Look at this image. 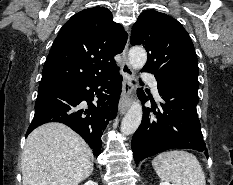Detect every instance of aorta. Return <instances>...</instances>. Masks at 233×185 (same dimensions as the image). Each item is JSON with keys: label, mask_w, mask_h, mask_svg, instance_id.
Returning a JSON list of instances; mask_svg holds the SVG:
<instances>
[{"label": "aorta", "mask_w": 233, "mask_h": 185, "mask_svg": "<svg viewBox=\"0 0 233 185\" xmlns=\"http://www.w3.org/2000/svg\"><path fill=\"white\" fill-rule=\"evenodd\" d=\"M128 59L133 69L143 68L147 61V53L143 47H132L128 54ZM142 106L139 101L134 102L128 109L122 120L120 131L123 135L133 134L139 127L142 120Z\"/></svg>", "instance_id": "1"}]
</instances>
